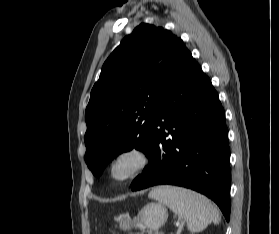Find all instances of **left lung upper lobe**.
<instances>
[{"label":"left lung upper lobe","mask_w":279,"mask_h":234,"mask_svg":"<svg viewBox=\"0 0 279 234\" xmlns=\"http://www.w3.org/2000/svg\"><path fill=\"white\" fill-rule=\"evenodd\" d=\"M183 47L169 30L142 23L105 61L85 112V161L94 175L134 147L148 156L160 95Z\"/></svg>","instance_id":"left-lung-upper-lobe-1"}]
</instances>
